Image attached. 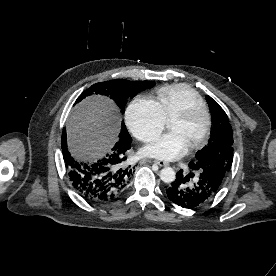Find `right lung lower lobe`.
I'll use <instances>...</instances> for the list:
<instances>
[{
  "instance_id": "98d812e1",
  "label": "right lung lower lobe",
  "mask_w": 276,
  "mask_h": 276,
  "mask_svg": "<svg viewBox=\"0 0 276 276\" xmlns=\"http://www.w3.org/2000/svg\"><path fill=\"white\" fill-rule=\"evenodd\" d=\"M131 142H117L110 153L94 163L79 162L70 155L63 130L61 145L65 166L76 192L91 203L109 201L120 194L132 177V169L124 164Z\"/></svg>"
}]
</instances>
